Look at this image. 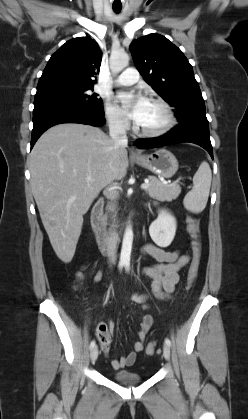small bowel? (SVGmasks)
I'll return each mask as SVG.
<instances>
[{"label": "small bowel", "mask_w": 248, "mask_h": 419, "mask_svg": "<svg viewBox=\"0 0 248 419\" xmlns=\"http://www.w3.org/2000/svg\"><path fill=\"white\" fill-rule=\"evenodd\" d=\"M142 255L154 259L156 262L142 270L144 275L153 279L152 294L157 298L170 295L176 288L180 280V271L189 263V256L181 254L178 250H166L154 244H146L142 248ZM103 272L98 271L94 276V282L102 279ZM147 294L133 293L131 299L138 304L146 307L148 300ZM153 324L150 315H143L140 322V329L137 333V341L133 345V350L124 357L113 359L111 365L114 369H121L132 366L135 363L137 354L144 348V340ZM110 337L106 342L100 343L101 352L108 355L112 342V327H109Z\"/></svg>", "instance_id": "c3829d8e"}]
</instances>
